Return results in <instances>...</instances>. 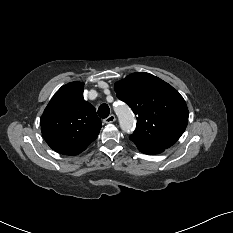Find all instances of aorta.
<instances>
[{"mask_svg": "<svg viewBox=\"0 0 233 233\" xmlns=\"http://www.w3.org/2000/svg\"><path fill=\"white\" fill-rule=\"evenodd\" d=\"M122 131L131 133L135 129V117L130 107L124 103H118L114 108Z\"/></svg>", "mask_w": 233, "mask_h": 233, "instance_id": "aorta-1", "label": "aorta"}]
</instances>
